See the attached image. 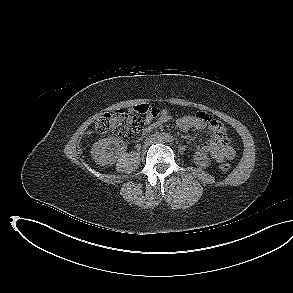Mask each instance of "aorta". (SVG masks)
<instances>
[{"mask_svg":"<svg viewBox=\"0 0 293 293\" xmlns=\"http://www.w3.org/2000/svg\"><path fill=\"white\" fill-rule=\"evenodd\" d=\"M162 141H167L169 139V136L167 134H163L161 136Z\"/></svg>","mask_w":293,"mask_h":293,"instance_id":"aorta-1","label":"aorta"}]
</instances>
